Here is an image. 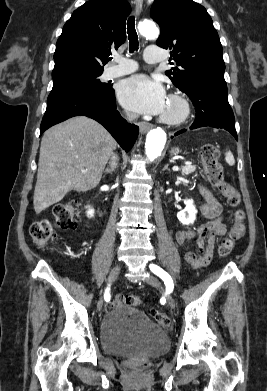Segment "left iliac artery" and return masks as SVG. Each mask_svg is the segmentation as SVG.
<instances>
[{
    "instance_id": "1",
    "label": "left iliac artery",
    "mask_w": 267,
    "mask_h": 391,
    "mask_svg": "<svg viewBox=\"0 0 267 391\" xmlns=\"http://www.w3.org/2000/svg\"><path fill=\"white\" fill-rule=\"evenodd\" d=\"M150 269L153 273H155L158 277H160L166 286V290L171 292L173 290V281L170 275L165 272L162 268L157 265L151 264Z\"/></svg>"
}]
</instances>
